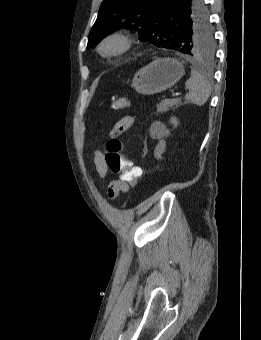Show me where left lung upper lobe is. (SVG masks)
Segmentation results:
<instances>
[{
    "label": "left lung upper lobe",
    "instance_id": "1",
    "mask_svg": "<svg viewBox=\"0 0 261 340\" xmlns=\"http://www.w3.org/2000/svg\"><path fill=\"white\" fill-rule=\"evenodd\" d=\"M165 0H104L90 34L87 49L108 34L126 28L138 31L140 40L191 56H211L214 36L204 3L190 17L175 23L161 20ZM160 15V16H159Z\"/></svg>",
    "mask_w": 261,
    "mask_h": 340
}]
</instances>
